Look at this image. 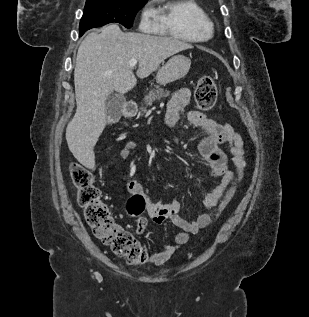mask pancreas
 Returning <instances> with one entry per match:
<instances>
[{
    "instance_id": "cf45deb5",
    "label": "pancreas",
    "mask_w": 309,
    "mask_h": 317,
    "mask_svg": "<svg viewBox=\"0 0 309 317\" xmlns=\"http://www.w3.org/2000/svg\"><path fill=\"white\" fill-rule=\"evenodd\" d=\"M170 95V92L167 90H163L162 88H160L159 86H156V89H152L149 91V94L145 97V107H141V110L139 112L140 115H142L143 113H145L147 111V107L151 106L152 103L156 100V99H161L164 97H168Z\"/></svg>"
}]
</instances>
